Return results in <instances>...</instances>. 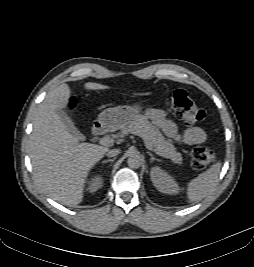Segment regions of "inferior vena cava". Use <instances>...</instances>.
Here are the masks:
<instances>
[{
  "mask_svg": "<svg viewBox=\"0 0 254 267\" xmlns=\"http://www.w3.org/2000/svg\"><path fill=\"white\" fill-rule=\"evenodd\" d=\"M119 153H120L119 149H112V150H108L106 155L108 157H114V156L118 155Z\"/></svg>",
  "mask_w": 254,
  "mask_h": 267,
  "instance_id": "obj_1",
  "label": "inferior vena cava"
}]
</instances>
